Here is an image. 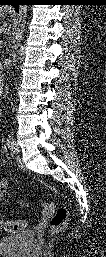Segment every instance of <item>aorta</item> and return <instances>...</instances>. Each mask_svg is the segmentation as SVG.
<instances>
[{
    "label": "aorta",
    "instance_id": "762f6f07",
    "mask_svg": "<svg viewBox=\"0 0 106 257\" xmlns=\"http://www.w3.org/2000/svg\"><path fill=\"white\" fill-rule=\"evenodd\" d=\"M26 12H27V7L26 6H20L19 7V13H18V21L19 23H21L22 25L25 23V19H26ZM16 39L18 38V36L15 37ZM14 49H17V46H14ZM13 57H16V53L15 51L12 54Z\"/></svg>",
    "mask_w": 106,
    "mask_h": 257
}]
</instances>
